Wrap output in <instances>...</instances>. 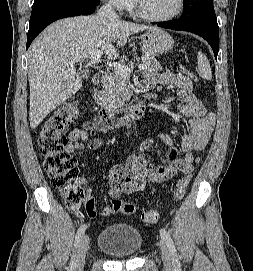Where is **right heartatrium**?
<instances>
[{"label": "right heart atrium", "instance_id": "right-heart-atrium-1", "mask_svg": "<svg viewBox=\"0 0 253 271\" xmlns=\"http://www.w3.org/2000/svg\"><path fill=\"white\" fill-rule=\"evenodd\" d=\"M109 5L117 10H122L126 8L129 0H105Z\"/></svg>", "mask_w": 253, "mask_h": 271}]
</instances>
